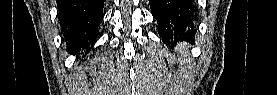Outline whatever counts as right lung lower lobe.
I'll return each mask as SVG.
<instances>
[{
    "label": "right lung lower lobe",
    "mask_w": 277,
    "mask_h": 95,
    "mask_svg": "<svg viewBox=\"0 0 277 95\" xmlns=\"http://www.w3.org/2000/svg\"><path fill=\"white\" fill-rule=\"evenodd\" d=\"M104 0H58L60 25L69 53L93 46L103 14Z\"/></svg>",
    "instance_id": "right-lung-lower-lobe-1"
}]
</instances>
